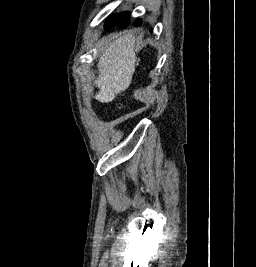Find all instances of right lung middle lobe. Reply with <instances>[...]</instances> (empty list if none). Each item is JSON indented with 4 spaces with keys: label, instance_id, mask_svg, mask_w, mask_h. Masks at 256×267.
<instances>
[{
    "label": "right lung middle lobe",
    "instance_id": "1",
    "mask_svg": "<svg viewBox=\"0 0 256 267\" xmlns=\"http://www.w3.org/2000/svg\"><path fill=\"white\" fill-rule=\"evenodd\" d=\"M130 16V13L128 12H124L119 16H114V17H110L106 24H105V29L108 30L110 29L114 24H119L124 22L125 20H127Z\"/></svg>",
    "mask_w": 256,
    "mask_h": 267
}]
</instances>
